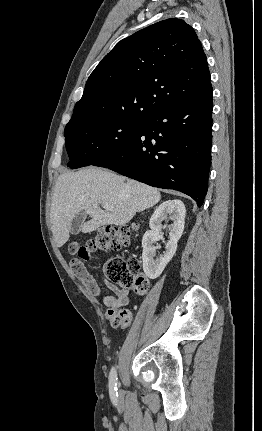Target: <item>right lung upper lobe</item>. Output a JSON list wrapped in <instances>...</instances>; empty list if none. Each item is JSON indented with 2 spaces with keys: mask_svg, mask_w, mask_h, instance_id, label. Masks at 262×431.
<instances>
[{
  "mask_svg": "<svg viewBox=\"0 0 262 431\" xmlns=\"http://www.w3.org/2000/svg\"><path fill=\"white\" fill-rule=\"evenodd\" d=\"M210 83L206 55L193 28L167 19L121 40L89 76L66 125L145 118L188 100Z\"/></svg>",
  "mask_w": 262,
  "mask_h": 431,
  "instance_id": "right-lung-upper-lobe-1",
  "label": "right lung upper lobe"
}]
</instances>
